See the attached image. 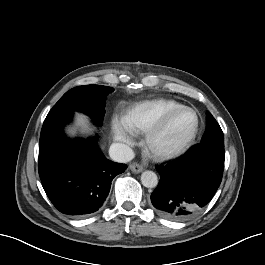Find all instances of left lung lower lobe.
Returning a JSON list of instances; mask_svg holds the SVG:
<instances>
[{"label": "left lung lower lobe", "mask_w": 265, "mask_h": 265, "mask_svg": "<svg viewBox=\"0 0 265 265\" xmlns=\"http://www.w3.org/2000/svg\"><path fill=\"white\" fill-rule=\"evenodd\" d=\"M224 144L193 147L180 161L157 168L161 178L151 194L158 214L170 220L197 215L213 198L224 170Z\"/></svg>", "instance_id": "left-lung-lower-lobe-1"}]
</instances>
